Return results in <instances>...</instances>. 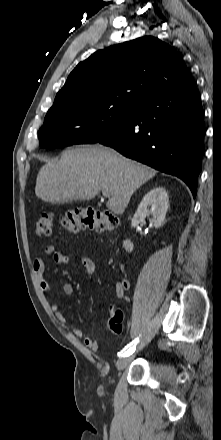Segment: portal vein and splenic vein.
I'll list each match as a JSON object with an SVG mask.
<instances>
[{
    "label": "portal vein and splenic vein",
    "instance_id": "18ae733b",
    "mask_svg": "<svg viewBox=\"0 0 221 440\" xmlns=\"http://www.w3.org/2000/svg\"><path fill=\"white\" fill-rule=\"evenodd\" d=\"M105 197H109V194L105 191L102 192Z\"/></svg>",
    "mask_w": 221,
    "mask_h": 440
}]
</instances>
